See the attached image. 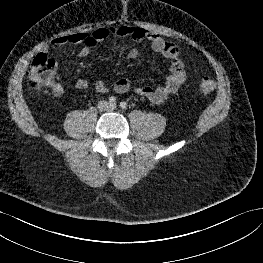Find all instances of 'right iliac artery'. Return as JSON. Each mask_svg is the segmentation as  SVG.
Returning a JSON list of instances; mask_svg holds the SVG:
<instances>
[{
  "instance_id": "obj_1",
  "label": "right iliac artery",
  "mask_w": 263,
  "mask_h": 263,
  "mask_svg": "<svg viewBox=\"0 0 263 263\" xmlns=\"http://www.w3.org/2000/svg\"><path fill=\"white\" fill-rule=\"evenodd\" d=\"M109 102H110V104H116V98L114 97V96H111L110 98H109Z\"/></svg>"
}]
</instances>
